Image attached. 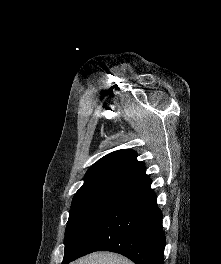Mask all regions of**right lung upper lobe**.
<instances>
[{"label":"right lung upper lobe","instance_id":"1","mask_svg":"<svg viewBox=\"0 0 221 264\" xmlns=\"http://www.w3.org/2000/svg\"><path fill=\"white\" fill-rule=\"evenodd\" d=\"M133 150H118L98 160L85 174V182L77 191L83 192L102 187L129 186L147 177L145 166L137 161Z\"/></svg>","mask_w":221,"mask_h":264}]
</instances>
